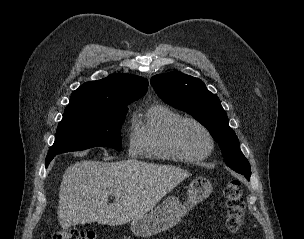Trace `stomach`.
Wrapping results in <instances>:
<instances>
[{
	"instance_id": "0dacf381",
	"label": "stomach",
	"mask_w": 304,
	"mask_h": 239,
	"mask_svg": "<svg viewBox=\"0 0 304 239\" xmlns=\"http://www.w3.org/2000/svg\"><path fill=\"white\" fill-rule=\"evenodd\" d=\"M212 192L211 182L203 177L194 179L188 187L187 201L182 203L168 197L151 212L132 220L131 230L140 237H148L175 226L190 208L205 200Z\"/></svg>"
}]
</instances>
